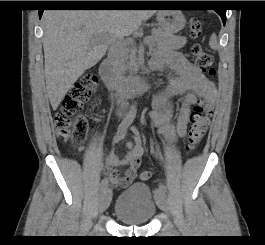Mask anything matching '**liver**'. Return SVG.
<instances>
[{
	"label": "liver",
	"mask_w": 265,
	"mask_h": 245,
	"mask_svg": "<svg viewBox=\"0 0 265 245\" xmlns=\"http://www.w3.org/2000/svg\"><path fill=\"white\" fill-rule=\"evenodd\" d=\"M156 10H47L43 13L47 95L56 110L73 84L114 41L131 35Z\"/></svg>",
	"instance_id": "6515ba94"
}]
</instances>
